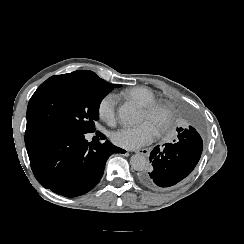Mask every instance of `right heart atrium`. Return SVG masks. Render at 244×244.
Wrapping results in <instances>:
<instances>
[{
	"mask_svg": "<svg viewBox=\"0 0 244 244\" xmlns=\"http://www.w3.org/2000/svg\"><path fill=\"white\" fill-rule=\"evenodd\" d=\"M116 106H117V96L115 93L110 92L105 94L98 106L99 117L101 120L109 125H112L116 121Z\"/></svg>",
	"mask_w": 244,
	"mask_h": 244,
	"instance_id": "obj_1",
	"label": "right heart atrium"
}]
</instances>
